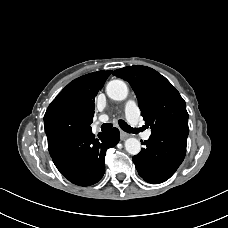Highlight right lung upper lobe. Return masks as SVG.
<instances>
[{
  "instance_id": "1",
  "label": "right lung upper lobe",
  "mask_w": 228,
  "mask_h": 228,
  "mask_svg": "<svg viewBox=\"0 0 228 228\" xmlns=\"http://www.w3.org/2000/svg\"><path fill=\"white\" fill-rule=\"evenodd\" d=\"M111 72V70L97 71L73 80L56 96L48 108L72 109L84 116L91 124L94 116L95 96L102 89Z\"/></svg>"
}]
</instances>
